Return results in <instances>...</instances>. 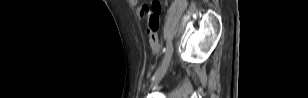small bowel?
<instances>
[{
    "label": "small bowel",
    "mask_w": 308,
    "mask_h": 98,
    "mask_svg": "<svg viewBox=\"0 0 308 98\" xmlns=\"http://www.w3.org/2000/svg\"><path fill=\"white\" fill-rule=\"evenodd\" d=\"M131 2H132L133 5H136V3H137L136 0H132ZM141 9H142V8H140L139 11H140Z\"/></svg>",
    "instance_id": "obj_1"
}]
</instances>
